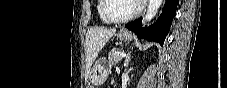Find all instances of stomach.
<instances>
[{"label":"stomach","instance_id":"obj_1","mask_svg":"<svg viewBox=\"0 0 227 88\" xmlns=\"http://www.w3.org/2000/svg\"><path fill=\"white\" fill-rule=\"evenodd\" d=\"M118 39L121 41L129 42L132 40V33L128 30L122 29L117 34ZM108 76V67H104L103 61H97L89 72V81L93 85H101L103 84Z\"/></svg>","mask_w":227,"mask_h":88}]
</instances>
